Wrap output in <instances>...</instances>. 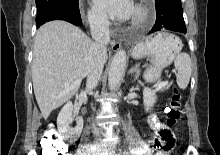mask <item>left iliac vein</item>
Segmentation results:
<instances>
[{"instance_id":"obj_1","label":"left iliac vein","mask_w":220,"mask_h":155,"mask_svg":"<svg viewBox=\"0 0 220 155\" xmlns=\"http://www.w3.org/2000/svg\"><path fill=\"white\" fill-rule=\"evenodd\" d=\"M103 155H111V154H109V153H104Z\"/></svg>"}]
</instances>
